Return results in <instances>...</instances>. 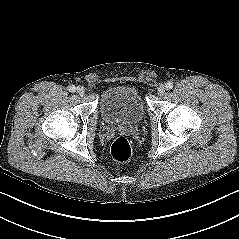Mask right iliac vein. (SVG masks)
Segmentation results:
<instances>
[{
	"mask_svg": "<svg viewBox=\"0 0 239 239\" xmlns=\"http://www.w3.org/2000/svg\"><path fill=\"white\" fill-rule=\"evenodd\" d=\"M76 92H77L78 95L83 96L84 93H85V90H84L83 87L78 86L77 89H76Z\"/></svg>",
	"mask_w": 239,
	"mask_h": 239,
	"instance_id": "1",
	"label": "right iliac vein"
}]
</instances>
